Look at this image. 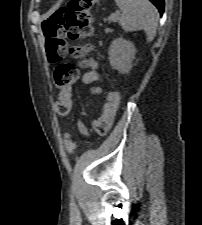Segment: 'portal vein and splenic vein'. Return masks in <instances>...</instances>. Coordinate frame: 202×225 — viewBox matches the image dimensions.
Listing matches in <instances>:
<instances>
[{"mask_svg": "<svg viewBox=\"0 0 202 225\" xmlns=\"http://www.w3.org/2000/svg\"><path fill=\"white\" fill-rule=\"evenodd\" d=\"M119 14H120V12L117 11L116 14L113 15V16L110 18V20L113 21V22H115V21L117 20L118 16H119Z\"/></svg>", "mask_w": 202, "mask_h": 225, "instance_id": "18ae733b", "label": "portal vein and splenic vein"}]
</instances>
